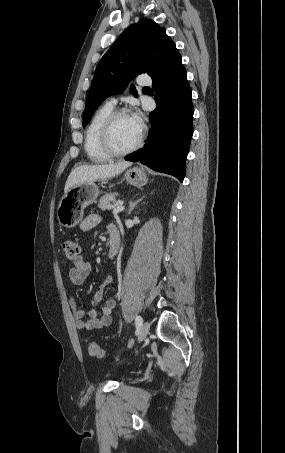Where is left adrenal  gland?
<instances>
[{
	"label": "left adrenal gland",
	"mask_w": 285,
	"mask_h": 453,
	"mask_svg": "<svg viewBox=\"0 0 285 453\" xmlns=\"http://www.w3.org/2000/svg\"><path fill=\"white\" fill-rule=\"evenodd\" d=\"M142 200H143V198L137 200L136 202L130 201V203H129V211H128V214H129V215L131 214V212L133 211V209L135 208V206H136L139 202H141Z\"/></svg>",
	"instance_id": "a2214340"
}]
</instances>
